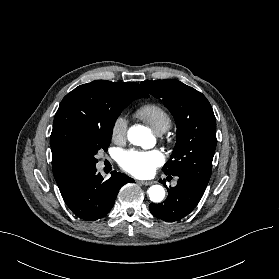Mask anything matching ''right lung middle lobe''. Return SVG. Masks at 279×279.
<instances>
[{"label": "right lung middle lobe", "instance_id": "1", "mask_svg": "<svg viewBox=\"0 0 279 279\" xmlns=\"http://www.w3.org/2000/svg\"><path fill=\"white\" fill-rule=\"evenodd\" d=\"M134 99H114L105 110L104 120L101 126L88 131L79 141V153L81 168L96 166L95 155L100 149L107 151L112 137V128L121 111Z\"/></svg>", "mask_w": 279, "mask_h": 279}]
</instances>
